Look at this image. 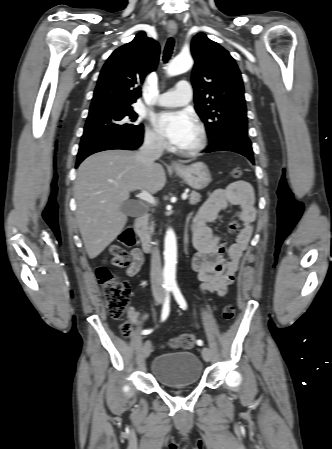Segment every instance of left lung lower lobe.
I'll return each mask as SVG.
<instances>
[{"mask_svg":"<svg viewBox=\"0 0 332 449\" xmlns=\"http://www.w3.org/2000/svg\"><path fill=\"white\" fill-rule=\"evenodd\" d=\"M232 151L247 157L254 164L252 144L248 136L242 133H233L218 139L210 144L205 152Z\"/></svg>","mask_w":332,"mask_h":449,"instance_id":"0a47b994","label":"left lung lower lobe"}]
</instances>
